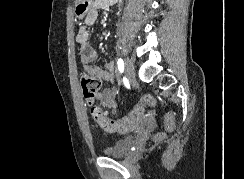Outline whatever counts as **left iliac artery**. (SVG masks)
<instances>
[{"mask_svg":"<svg viewBox=\"0 0 244 179\" xmlns=\"http://www.w3.org/2000/svg\"><path fill=\"white\" fill-rule=\"evenodd\" d=\"M117 65H118L119 71L122 73L123 70H124V62H123V60L121 58L118 59Z\"/></svg>","mask_w":244,"mask_h":179,"instance_id":"obj_1","label":"left iliac artery"}]
</instances>
